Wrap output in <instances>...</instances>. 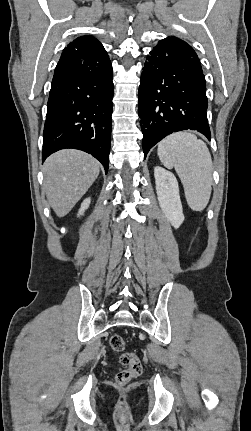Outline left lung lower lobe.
<instances>
[{
    "mask_svg": "<svg viewBox=\"0 0 251 431\" xmlns=\"http://www.w3.org/2000/svg\"><path fill=\"white\" fill-rule=\"evenodd\" d=\"M138 96L144 157L173 132L197 130L210 140L205 77L185 41L171 36L158 42L143 67Z\"/></svg>",
    "mask_w": 251,
    "mask_h": 431,
    "instance_id": "0a47b994",
    "label": "left lung lower lobe"
}]
</instances>
